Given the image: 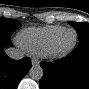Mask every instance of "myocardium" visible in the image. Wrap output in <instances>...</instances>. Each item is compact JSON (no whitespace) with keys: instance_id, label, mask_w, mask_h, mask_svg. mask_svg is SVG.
Here are the masks:
<instances>
[{"instance_id":"f54148a6","label":"myocardium","mask_w":89,"mask_h":89,"mask_svg":"<svg viewBox=\"0 0 89 89\" xmlns=\"http://www.w3.org/2000/svg\"><path fill=\"white\" fill-rule=\"evenodd\" d=\"M65 32H71L73 33V40L72 42L65 48L57 50L54 47V44L56 42V40L59 38V36ZM78 41V34L77 31L73 28H63L60 32H58L55 36H53L50 41L49 44L46 47L45 50V54L44 56L46 57H50V58H60L63 57L67 54H69L76 46Z\"/></svg>"}]
</instances>
